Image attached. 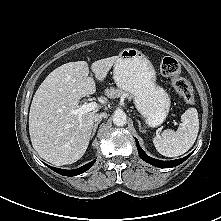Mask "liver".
<instances>
[{
	"label": "liver",
	"mask_w": 221,
	"mask_h": 221,
	"mask_svg": "<svg viewBox=\"0 0 221 221\" xmlns=\"http://www.w3.org/2000/svg\"><path fill=\"white\" fill-rule=\"evenodd\" d=\"M117 56L91 65L96 80L102 82ZM96 91L86 61L69 62L53 70L33 97L29 112V134L41 158L61 166L78 161L86 152L98 109L82 116L71 114L79 101Z\"/></svg>",
	"instance_id": "liver-1"
}]
</instances>
